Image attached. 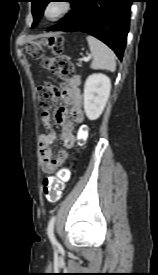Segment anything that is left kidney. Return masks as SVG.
Returning <instances> with one entry per match:
<instances>
[{
  "label": "left kidney",
  "instance_id": "5707ae66",
  "mask_svg": "<svg viewBox=\"0 0 158 275\" xmlns=\"http://www.w3.org/2000/svg\"><path fill=\"white\" fill-rule=\"evenodd\" d=\"M111 90L109 77L102 73L90 75L84 86L83 106L89 120H96L102 114Z\"/></svg>",
  "mask_w": 158,
  "mask_h": 275
}]
</instances>
